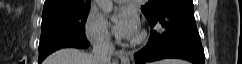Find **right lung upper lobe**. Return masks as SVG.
<instances>
[{
  "instance_id": "obj_1",
  "label": "right lung upper lobe",
  "mask_w": 242,
  "mask_h": 64,
  "mask_svg": "<svg viewBox=\"0 0 242 64\" xmlns=\"http://www.w3.org/2000/svg\"><path fill=\"white\" fill-rule=\"evenodd\" d=\"M90 9V0H46L43 14Z\"/></svg>"
}]
</instances>
